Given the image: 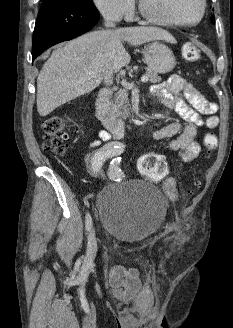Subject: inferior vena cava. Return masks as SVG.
Segmentation results:
<instances>
[{"mask_svg": "<svg viewBox=\"0 0 233 328\" xmlns=\"http://www.w3.org/2000/svg\"><path fill=\"white\" fill-rule=\"evenodd\" d=\"M105 26L106 27H115V19L109 15L104 14ZM104 83L110 85L113 83V71L110 66H107L104 74Z\"/></svg>", "mask_w": 233, "mask_h": 328, "instance_id": "1", "label": "inferior vena cava"}]
</instances>
